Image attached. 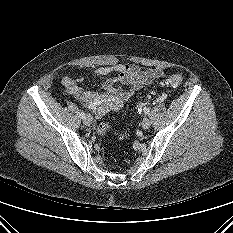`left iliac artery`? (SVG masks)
<instances>
[{
    "label": "left iliac artery",
    "mask_w": 233,
    "mask_h": 233,
    "mask_svg": "<svg viewBox=\"0 0 233 233\" xmlns=\"http://www.w3.org/2000/svg\"><path fill=\"white\" fill-rule=\"evenodd\" d=\"M144 113L148 114L149 113V109L148 108H144Z\"/></svg>",
    "instance_id": "obj_1"
}]
</instances>
